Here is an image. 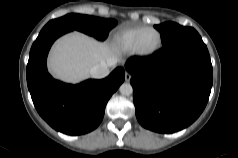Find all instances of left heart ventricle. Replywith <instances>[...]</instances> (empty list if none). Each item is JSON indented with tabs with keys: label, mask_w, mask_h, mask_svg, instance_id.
I'll return each instance as SVG.
<instances>
[{
	"label": "left heart ventricle",
	"mask_w": 238,
	"mask_h": 158,
	"mask_svg": "<svg viewBox=\"0 0 238 158\" xmlns=\"http://www.w3.org/2000/svg\"><path fill=\"white\" fill-rule=\"evenodd\" d=\"M158 42V35L155 31H147L141 38L140 48L143 51H150Z\"/></svg>",
	"instance_id": "b2bd125f"
}]
</instances>
